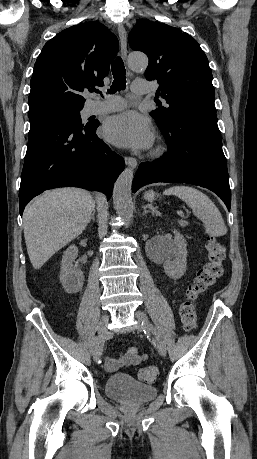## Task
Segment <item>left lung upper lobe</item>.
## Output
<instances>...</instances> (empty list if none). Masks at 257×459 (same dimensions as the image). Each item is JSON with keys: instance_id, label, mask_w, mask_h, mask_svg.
Returning <instances> with one entry per match:
<instances>
[{"instance_id": "1", "label": "left lung upper lobe", "mask_w": 257, "mask_h": 459, "mask_svg": "<svg viewBox=\"0 0 257 459\" xmlns=\"http://www.w3.org/2000/svg\"><path fill=\"white\" fill-rule=\"evenodd\" d=\"M133 50L147 54L148 80L159 84L157 94L166 100L150 115L166 126L185 111L214 110L212 70L198 42L178 28L160 22L140 20L129 34Z\"/></svg>"}]
</instances>
